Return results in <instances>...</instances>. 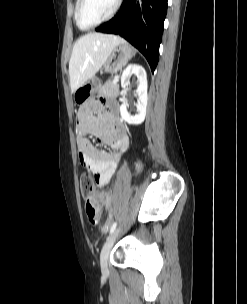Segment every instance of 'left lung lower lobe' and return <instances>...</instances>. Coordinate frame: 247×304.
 I'll return each mask as SVG.
<instances>
[{
	"label": "left lung lower lobe",
	"instance_id": "obj_1",
	"mask_svg": "<svg viewBox=\"0 0 247 304\" xmlns=\"http://www.w3.org/2000/svg\"><path fill=\"white\" fill-rule=\"evenodd\" d=\"M166 12L167 0H124L118 14L96 31L125 38L146 57L154 72Z\"/></svg>",
	"mask_w": 247,
	"mask_h": 304
}]
</instances>
